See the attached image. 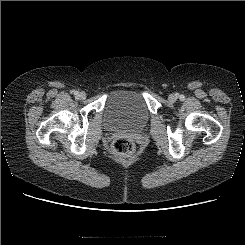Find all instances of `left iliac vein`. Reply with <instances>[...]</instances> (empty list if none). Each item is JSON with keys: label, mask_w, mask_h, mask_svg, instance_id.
<instances>
[{"label": "left iliac vein", "mask_w": 245, "mask_h": 245, "mask_svg": "<svg viewBox=\"0 0 245 245\" xmlns=\"http://www.w3.org/2000/svg\"><path fill=\"white\" fill-rule=\"evenodd\" d=\"M168 99L170 102H175L177 100V96L175 94H171L169 95Z\"/></svg>", "instance_id": "1"}]
</instances>
